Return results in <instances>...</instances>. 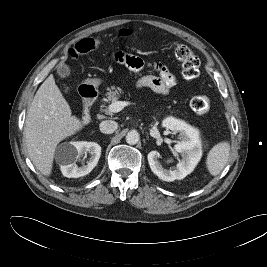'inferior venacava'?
Here are the masks:
<instances>
[{"mask_svg": "<svg viewBox=\"0 0 267 267\" xmlns=\"http://www.w3.org/2000/svg\"><path fill=\"white\" fill-rule=\"evenodd\" d=\"M100 131L104 134H111L118 128V123L112 120H105L100 123Z\"/></svg>", "mask_w": 267, "mask_h": 267, "instance_id": "obj_1", "label": "inferior vena cava"}]
</instances>
